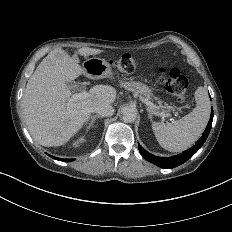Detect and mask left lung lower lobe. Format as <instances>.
<instances>
[{
	"label": "left lung lower lobe",
	"instance_id": "1",
	"mask_svg": "<svg viewBox=\"0 0 232 232\" xmlns=\"http://www.w3.org/2000/svg\"><path fill=\"white\" fill-rule=\"evenodd\" d=\"M212 112H213V110H212ZM212 121H213V113H211V115H210V120L208 122V125H207L204 133L202 134V137L196 142V144L193 147L182 152V154L172 156V157H157L155 155L148 153L138 143L139 151H140L141 155L146 160H148L149 162H151V163H153L161 168H165V169L175 168V167L183 164L184 162H186L188 159H190L202 147V145L205 143V141L209 135V132L211 130Z\"/></svg>",
	"mask_w": 232,
	"mask_h": 232
}]
</instances>
